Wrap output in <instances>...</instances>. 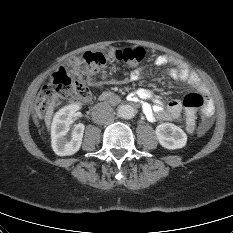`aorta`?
<instances>
[{
    "label": "aorta",
    "mask_w": 233,
    "mask_h": 233,
    "mask_svg": "<svg viewBox=\"0 0 233 233\" xmlns=\"http://www.w3.org/2000/svg\"><path fill=\"white\" fill-rule=\"evenodd\" d=\"M118 113L124 119H132L135 116V109L130 105H122L119 107Z\"/></svg>",
    "instance_id": "aorta-1"
}]
</instances>
